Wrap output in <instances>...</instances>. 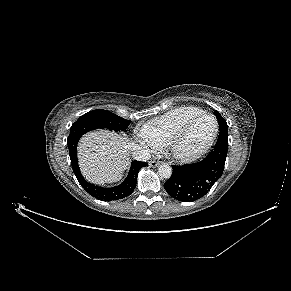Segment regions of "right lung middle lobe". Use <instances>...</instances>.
Instances as JSON below:
<instances>
[{"label":"right lung middle lobe","mask_w":291,"mask_h":291,"mask_svg":"<svg viewBox=\"0 0 291 291\" xmlns=\"http://www.w3.org/2000/svg\"><path fill=\"white\" fill-rule=\"evenodd\" d=\"M131 121L119 117L107 110H92L82 116L73 124H91L97 128H106L114 131H124Z\"/></svg>","instance_id":"1"}]
</instances>
